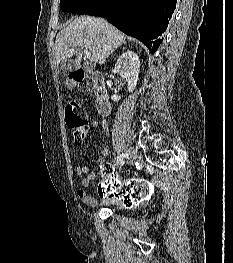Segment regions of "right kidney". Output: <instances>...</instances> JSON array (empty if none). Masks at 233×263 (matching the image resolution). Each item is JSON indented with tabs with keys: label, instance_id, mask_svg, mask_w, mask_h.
<instances>
[{
	"label": "right kidney",
	"instance_id": "1",
	"mask_svg": "<svg viewBox=\"0 0 233 263\" xmlns=\"http://www.w3.org/2000/svg\"><path fill=\"white\" fill-rule=\"evenodd\" d=\"M115 71L126 78L128 90L132 93L137 85L140 71V61L138 55L131 50L124 52L117 59ZM111 99L114 102H118L121 97L118 95H112Z\"/></svg>",
	"mask_w": 233,
	"mask_h": 263
}]
</instances>
